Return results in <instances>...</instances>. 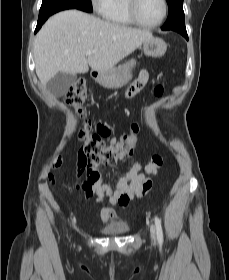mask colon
I'll return each instance as SVG.
<instances>
[{"instance_id": "colon-1", "label": "colon", "mask_w": 229, "mask_h": 280, "mask_svg": "<svg viewBox=\"0 0 229 280\" xmlns=\"http://www.w3.org/2000/svg\"><path fill=\"white\" fill-rule=\"evenodd\" d=\"M87 98V89L83 81L72 83L67 92L66 101L72 107L75 116L82 120L79 130V138L83 141L79 148L78 165L84 170L86 179L90 183H96L99 180V173L96 170L98 163L114 165L121 157H131L136 149L138 142L139 127L137 124L131 126L129 133L123 135L115 145L106 144L101 135L109 133V128L104 125L98 126L97 133H91L93 126L91 120L85 119L83 104ZM61 164V158L54 160L52 167H58ZM162 165L160 155H153L147 169L155 171L156 167ZM151 181L143 183L140 194H145L151 188Z\"/></svg>"}]
</instances>
